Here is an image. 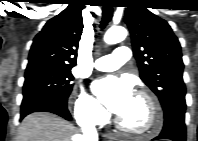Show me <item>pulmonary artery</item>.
Segmentation results:
<instances>
[{
    "mask_svg": "<svg viewBox=\"0 0 198 141\" xmlns=\"http://www.w3.org/2000/svg\"><path fill=\"white\" fill-rule=\"evenodd\" d=\"M130 49L127 46H118L112 54L102 56L94 61V67L100 71H113L129 61Z\"/></svg>",
    "mask_w": 198,
    "mask_h": 141,
    "instance_id": "pulmonary-artery-1",
    "label": "pulmonary artery"
}]
</instances>
